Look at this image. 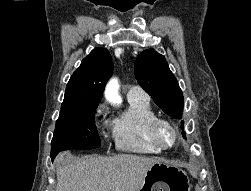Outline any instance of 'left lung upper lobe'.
I'll list each match as a JSON object with an SVG mask.
<instances>
[{"mask_svg": "<svg viewBox=\"0 0 251 191\" xmlns=\"http://www.w3.org/2000/svg\"><path fill=\"white\" fill-rule=\"evenodd\" d=\"M134 71L139 85L154 102L174 119L182 118L183 94L165 57L154 49L143 51L136 59ZM184 122H181L183 129ZM185 138V132H182Z\"/></svg>", "mask_w": 251, "mask_h": 191, "instance_id": "left-lung-upper-lobe-1", "label": "left lung upper lobe"}]
</instances>
